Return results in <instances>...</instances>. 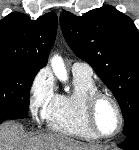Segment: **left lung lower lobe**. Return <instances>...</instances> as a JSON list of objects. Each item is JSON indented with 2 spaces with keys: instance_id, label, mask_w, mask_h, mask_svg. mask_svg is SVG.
Here are the masks:
<instances>
[{
  "instance_id": "left-lung-lower-lobe-1",
  "label": "left lung lower lobe",
  "mask_w": 139,
  "mask_h": 150,
  "mask_svg": "<svg viewBox=\"0 0 139 150\" xmlns=\"http://www.w3.org/2000/svg\"><path fill=\"white\" fill-rule=\"evenodd\" d=\"M118 146L124 150H139V132H133L126 136L124 142Z\"/></svg>"
}]
</instances>
